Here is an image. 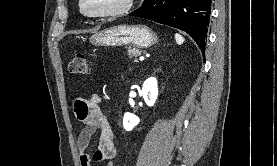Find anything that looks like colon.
<instances>
[{"instance_id": "obj_1", "label": "colon", "mask_w": 277, "mask_h": 166, "mask_svg": "<svg viewBox=\"0 0 277 166\" xmlns=\"http://www.w3.org/2000/svg\"><path fill=\"white\" fill-rule=\"evenodd\" d=\"M69 70L73 74H86L88 70L87 59L84 54H76L69 64Z\"/></svg>"}]
</instances>
